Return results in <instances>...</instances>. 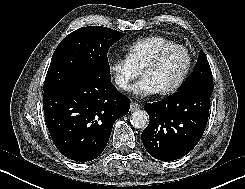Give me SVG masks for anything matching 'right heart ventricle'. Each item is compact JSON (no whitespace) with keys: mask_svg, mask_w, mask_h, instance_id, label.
<instances>
[{"mask_svg":"<svg viewBox=\"0 0 245 189\" xmlns=\"http://www.w3.org/2000/svg\"><path fill=\"white\" fill-rule=\"evenodd\" d=\"M174 44L163 35H152L138 39L126 48V58L138 71L163 47Z\"/></svg>","mask_w":245,"mask_h":189,"instance_id":"e07e8e85","label":"right heart ventricle"}]
</instances>
